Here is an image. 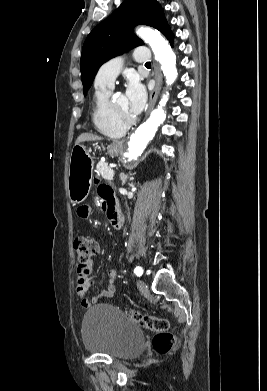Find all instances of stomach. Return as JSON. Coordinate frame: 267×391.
Listing matches in <instances>:
<instances>
[{
	"instance_id": "0dacf381",
	"label": "stomach",
	"mask_w": 267,
	"mask_h": 391,
	"mask_svg": "<svg viewBox=\"0 0 267 391\" xmlns=\"http://www.w3.org/2000/svg\"><path fill=\"white\" fill-rule=\"evenodd\" d=\"M108 153L116 155L121 150V144L114 142L107 147ZM94 161L86 147L77 144L70 156L68 173V194L72 203L83 202L89 194L92 184Z\"/></svg>"
}]
</instances>
